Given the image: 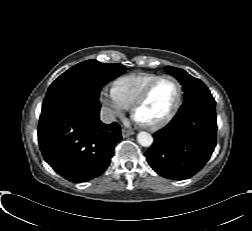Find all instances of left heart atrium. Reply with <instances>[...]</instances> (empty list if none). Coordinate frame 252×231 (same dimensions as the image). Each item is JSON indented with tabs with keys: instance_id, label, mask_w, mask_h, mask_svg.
Wrapping results in <instances>:
<instances>
[{
	"instance_id": "left-heart-atrium-1",
	"label": "left heart atrium",
	"mask_w": 252,
	"mask_h": 231,
	"mask_svg": "<svg viewBox=\"0 0 252 231\" xmlns=\"http://www.w3.org/2000/svg\"><path fill=\"white\" fill-rule=\"evenodd\" d=\"M135 119H136L137 122L142 123V121L138 117H135Z\"/></svg>"
}]
</instances>
